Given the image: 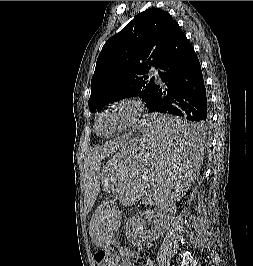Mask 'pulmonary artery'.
Instances as JSON below:
<instances>
[{"label": "pulmonary artery", "mask_w": 253, "mask_h": 266, "mask_svg": "<svg viewBox=\"0 0 253 266\" xmlns=\"http://www.w3.org/2000/svg\"><path fill=\"white\" fill-rule=\"evenodd\" d=\"M150 77H152L156 83H161L160 75L158 73V70H151L149 73Z\"/></svg>", "instance_id": "pulmonary-artery-1"}]
</instances>
